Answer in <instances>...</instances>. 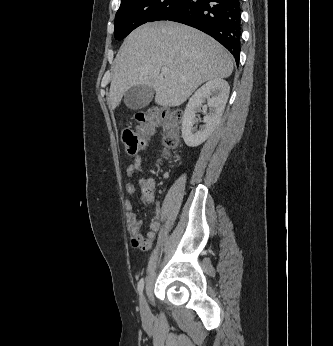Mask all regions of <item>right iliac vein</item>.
I'll use <instances>...</instances> for the list:
<instances>
[{"label":"right iliac vein","mask_w":333,"mask_h":346,"mask_svg":"<svg viewBox=\"0 0 333 346\" xmlns=\"http://www.w3.org/2000/svg\"><path fill=\"white\" fill-rule=\"evenodd\" d=\"M140 308H141L142 320H143L144 324L148 325L151 321L152 314H151V310H150L148 301H147L145 296L141 297Z\"/></svg>","instance_id":"1"}]
</instances>
